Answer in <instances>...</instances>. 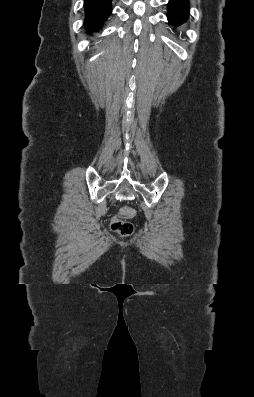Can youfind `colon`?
<instances>
[{"label": "colon", "mask_w": 254, "mask_h": 397, "mask_svg": "<svg viewBox=\"0 0 254 397\" xmlns=\"http://www.w3.org/2000/svg\"><path fill=\"white\" fill-rule=\"evenodd\" d=\"M135 216L133 208L123 206L118 210L117 215L111 219V229L121 237H129L134 232V226L129 219Z\"/></svg>", "instance_id": "colon-1"}]
</instances>
